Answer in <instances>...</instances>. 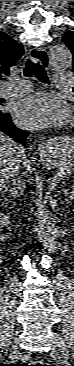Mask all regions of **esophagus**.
I'll list each match as a JSON object with an SVG mask.
<instances>
[{
    "instance_id": "34e87169",
    "label": "esophagus",
    "mask_w": 74,
    "mask_h": 366,
    "mask_svg": "<svg viewBox=\"0 0 74 366\" xmlns=\"http://www.w3.org/2000/svg\"><path fill=\"white\" fill-rule=\"evenodd\" d=\"M30 58L38 62L42 67L46 68L48 66V54L43 48H31L29 52ZM40 152L45 154L48 151V146L45 143L39 145Z\"/></svg>"
}]
</instances>
